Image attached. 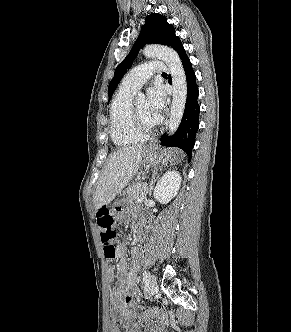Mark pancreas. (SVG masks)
<instances>
[{
	"label": "pancreas",
	"mask_w": 291,
	"mask_h": 332,
	"mask_svg": "<svg viewBox=\"0 0 291 332\" xmlns=\"http://www.w3.org/2000/svg\"><path fill=\"white\" fill-rule=\"evenodd\" d=\"M147 192H148V185L147 183L143 182L134 183L127 188V196L131 200L144 198Z\"/></svg>",
	"instance_id": "pancreas-1"
}]
</instances>
